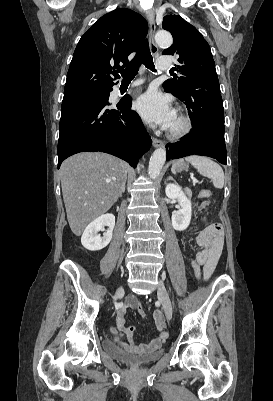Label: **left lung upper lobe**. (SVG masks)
Segmentation results:
<instances>
[{"label": "left lung upper lobe", "mask_w": 273, "mask_h": 401, "mask_svg": "<svg viewBox=\"0 0 273 401\" xmlns=\"http://www.w3.org/2000/svg\"><path fill=\"white\" fill-rule=\"evenodd\" d=\"M162 27L173 36V44L162 54L177 55L180 63L173 68L179 74L163 83L164 90L175 96L193 90L220 94L215 62L202 34L179 15H166Z\"/></svg>", "instance_id": "obj_1"}]
</instances>
